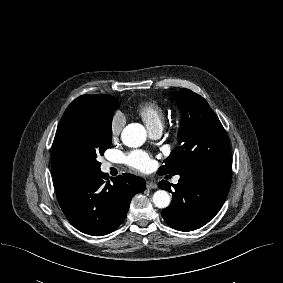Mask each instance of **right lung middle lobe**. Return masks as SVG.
Here are the masks:
<instances>
[{
	"mask_svg": "<svg viewBox=\"0 0 283 283\" xmlns=\"http://www.w3.org/2000/svg\"><path fill=\"white\" fill-rule=\"evenodd\" d=\"M117 98L88 107L67 108L56 131L52 150L54 178L72 184L100 171L97 161L112 141V115Z\"/></svg>",
	"mask_w": 283,
	"mask_h": 283,
	"instance_id": "1",
	"label": "right lung middle lobe"
}]
</instances>
